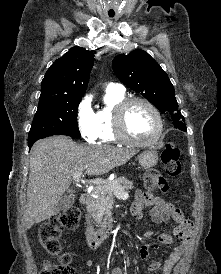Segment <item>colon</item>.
Here are the masks:
<instances>
[{"instance_id":"obj_1","label":"colon","mask_w":221,"mask_h":274,"mask_svg":"<svg viewBox=\"0 0 221 274\" xmlns=\"http://www.w3.org/2000/svg\"><path fill=\"white\" fill-rule=\"evenodd\" d=\"M161 160L167 175L175 177L181 173L180 151L174 144H167L161 153ZM147 187L155 192L167 193L168 183L164 176L149 172L145 177ZM81 217L78 207L67 208L61 214L52 217L39 230V241L42 248L50 255L56 256L58 263L44 262L40 274H74L69 266L70 256L63 253L59 236L64 229L77 227Z\"/></svg>"}]
</instances>
